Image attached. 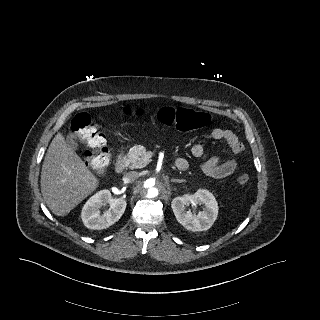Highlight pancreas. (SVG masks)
I'll use <instances>...</instances> for the list:
<instances>
[{"label":"pancreas","mask_w":320,"mask_h":320,"mask_svg":"<svg viewBox=\"0 0 320 320\" xmlns=\"http://www.w3.org/2000/svg\"><path fill=\"white\" fill-rule=\"evenodd\" d=\"M124 163L130 169L145 167L149 160L146 158V149L141 145L132 147L124 157Z\"/></svg>","instance_id":"pancreas-1"}]
</instances>
